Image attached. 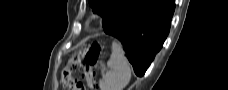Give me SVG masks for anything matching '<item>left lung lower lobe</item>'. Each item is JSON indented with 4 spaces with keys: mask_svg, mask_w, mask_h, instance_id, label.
<instances>
[{
    "mask_svg": "<svg viewBox=\"0 0 228 90\" xmlns=\"http://www.w3.org/2000/svg\"><path fill=\"white\" fill-rule=\"evenodd\" d=\"M174 0H130L128 9L105 29L124 46L138 76H143L169 33Z\"/></svg>",
    "mask_w": 228,
    "mask_h": 90,
    "instance_id": "obj_1",
    "label": "left lung lower lobe"
}]
</instances>
